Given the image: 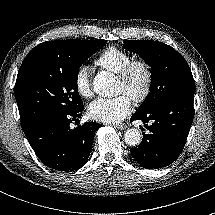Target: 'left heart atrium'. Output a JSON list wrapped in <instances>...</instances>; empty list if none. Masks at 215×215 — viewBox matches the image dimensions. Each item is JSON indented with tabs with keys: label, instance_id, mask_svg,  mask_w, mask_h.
<instances>
[{
	"label": "left heart atrium",
	"instance_id": "39dd6f15",
	"mask_svg": "<svg viewBox=\"0 0 215 215\" xmlns=\"http://www.w3.org/2000/svg\"><path fill=\"white\" fill-rule=\"evenodd\" d=\"M131 98L122 94L115 98H99L88 109L91 119L102 123H117L131 111Z\"/></svg>",
	"mask_w": 215,
	"mask_h": 215
}]
</instances>
